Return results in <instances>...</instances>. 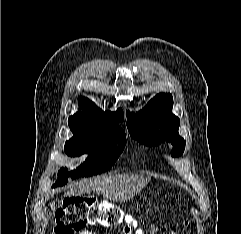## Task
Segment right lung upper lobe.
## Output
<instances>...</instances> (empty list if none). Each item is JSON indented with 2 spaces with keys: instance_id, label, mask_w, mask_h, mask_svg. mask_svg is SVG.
Masks as SVG:
<instances>
[{
  "instance_id": "cb5924a9",
  "label": "right lung upper lobe",
  "mask_w": 241,
  "mask_h": 234,
  "mask_svg": "<svg viewBox=\"0 0 241 234\" xmlns=\"http://www.w3.org/2000/svg\"><path fill=\"white\" fill-rule=\"evenodd\" d=\"M79 100L82 112L69 117L70 125L81 130L122 131L117 125L124 119L121 109L116 112H103L89 99L80 97Z\"/></svg>"
}]
</instances>
